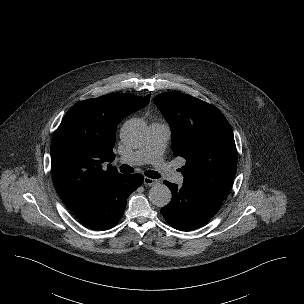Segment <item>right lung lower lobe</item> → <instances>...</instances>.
I'll use <instances>...</instances> for the list:
<instances>
[{
  "label": "right lung lower lobe",
  "instance_id": "1",
  "mask_svg": "<svg viewBox=\"0 0 304 304\" xmlns=\"http://www.w3.org/2000/svg\"><path fill=\"white\" fill-rule=\"evenodd\" d=\"M141 174H118L107 180L92 201L75 213L90 228L106 230L121 219L127 197L143 183Z\"/></svg>",
  "mask_w": 304,
  "mask_h": 304
}]
</instances>
